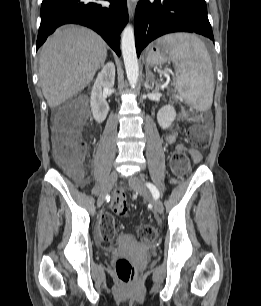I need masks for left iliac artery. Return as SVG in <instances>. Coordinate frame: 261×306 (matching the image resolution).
<instances>
[{
  "label": "left iliac artery",
  "instance_id": "left-iliac-artery-1",
  "mask_svg": "<svg viewBox=\"0 0 261 306\" xmlns=\"http://www.w3.org/2000/svg\"><path fill=\"white\" fill-rule=\"evenodd\" d=\"M146 186L149 188V190L152 193L154 198H159L160 197L159 190L157 189V187L154 184H152L150 182H147Z\"/></svg>",
  "mask_w": 261,
  "mask_h": 306
}]
</instances>
